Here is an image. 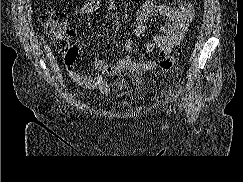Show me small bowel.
I'll return each instance as SVG.
<instances>
[{"label":"small bowel","mask_w":243,"mask_h":182,"mask_svg":"<svg viewBox=\"0 0 243 182\" xmlns=\"http://www.w3.org/2000/svg\"><path fill=\"white\" fill-rule=\"evenodd\" d=\"M100 7L101 0H87L80 6L79 13L81 15H92ZM152 14L164 16L167 21L161 26V35L145 39L148 20ZM194 17L195 8L187 0L180 1L177 6L157 4L153 0H145L136 15L134 23L130 25V29L143 39L145 52L148 53L158 48L164 55H167L180 44ZM79 48L80 42H77L73 47V54L65 57V67L68 75L82 88L97 90L104 96L109 95L111 92L108 77L126 74L134 85L139 86L142 84L143 75L157 66L154 60H134L130 53L132 42L126 40L125 48L127 53L117 63H107L101 58H96L93 61V66L98 73L95 76H89L77 70L75 61ZM114 86L119 90H125L128 87V81L118 79L114 82Z\"/></svg>","instance_id":"1"}]
</instances>
